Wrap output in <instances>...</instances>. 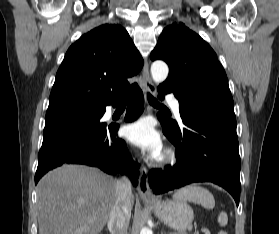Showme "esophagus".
Masks as SVG:
<instances>
[{
  "mask_svg": "<svg viewBox=\"0 0 279 234\" xmlns=\"http://www.w3.org/2000/svg\"><path fill=\"white\" fill-rule=\"evenodd\" d=\"M142 89L145 95L150 93L151 95L156 94V87L151 80L149 74V65L148 62H145L143 71H142ZM138 192L142 199L152 200L154 198L148 181V171L145 167L141 169L140 176H139V184H138Z\"/></svg>",
  "mask_w": 279,
  "mask_h": 234,
  "instance_id": "34e87169",
  "label": "esophagus"
}]
</instances>
